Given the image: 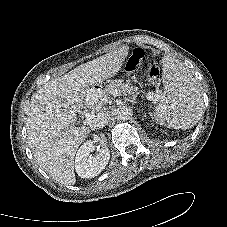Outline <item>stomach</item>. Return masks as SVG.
Masks as SVG:
<instances>
[{
    "label": "stomach",
    "instance_id": "0dacf381",
    "mask_svg": "<svg viewBox=\"0 0 227 227\" xmlns=\"http://www.w3.org/2000/svg\"><path fill=\"white\" fill-rule=\"evenodd\" d=\"M90 90L94 94L108 95V94L116 93L118 90V87L114 83H106V84L94 83L91 85Z\"/></svg>",
    "mask_w": 227,
    "mask_h": 227
}]
</instances>
